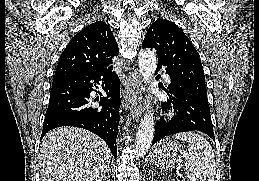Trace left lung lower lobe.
I'll return each mask as SVG.
<instances>
[{"label": "left lung lower lobe", "instance_id": "left-lung-lower-lobe-1", "mask_svg": "<svg viewBox=\"0 0 259 181\" xmlns=\"http://www.w3.org/2000/svg\"><path fill=\"white\" fill-rule=\"evenodd\" d=\"M162 66L158 62L157 71ZM164 90L169 98L162 106L173 109L174 117L168 121L161 120L157 123L152 145L166 136L194 130L204 132L215 141L209 105L172 80Z\"/></svg>", "mask_w": 259, "mask_h": 181}]
</instances>
